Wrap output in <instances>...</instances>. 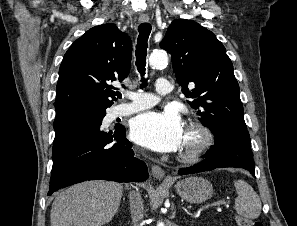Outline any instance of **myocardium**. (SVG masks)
<instances>
[{"instance_id":"myocardium-1","label":"myocardium","mask_w":297,"mask_h":226,"mask_svg":"<svg viewBox=\"0 0 297 226\" xmlns=\"http://www.w3.org/2000/svg\"><path fill=\"white\" fill-rule=\"evenodd\" d=\"M186 130L193 133L196 138L192 145L179 153L178 159L186 164L197 163L212 147L214 134L207 125L198 120L191 121Z\"/></svg>"}]
</instances>
